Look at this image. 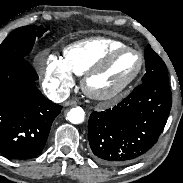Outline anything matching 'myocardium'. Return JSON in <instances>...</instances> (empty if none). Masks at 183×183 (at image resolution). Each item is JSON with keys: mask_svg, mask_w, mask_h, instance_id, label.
<instances>
[{"mask_svg": "<svg viewBox=\"0 0 183 183\" xmlns=\"http://www.w3.org/2000/svg\"><path fill=\"white\" fill-rule=\"evenodd\" d=\"M124 52H135L139 56L140 65L136 73L124 85L112 91L102 93L93 90L90 86L91 79L108 69L112 62L115 60V58ZM144 66L145 57L141 50L129 46L115 48L108 52L99 62H97L83 74L81 80L82 90L89 98L97 101H109L121 98L130 88H132V86L139 79L143 72Z\"/></svg>", "mask_w": 183, "mask_h": 183, "instance_id": "obj_1", "label": "myocardium"}]
</instances>
